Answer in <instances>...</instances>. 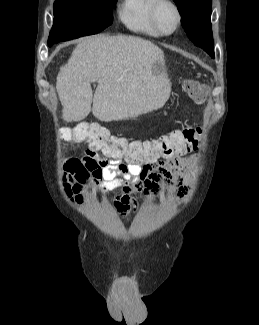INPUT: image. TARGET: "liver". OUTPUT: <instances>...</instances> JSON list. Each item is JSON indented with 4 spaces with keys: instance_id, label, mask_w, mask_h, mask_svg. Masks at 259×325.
Instances as JSON below:
<instances>
[{
    "instance_id": "1",
    "label": "liver",
    "mask_w": 259,
    "mask_h": 325,
    "mask_svg": "<svg viewBox=\"0 0 259 325\" xmlns=\"http://www.w3.org/2000/svg\"><path fill=\"white\" fill-rule=\"evenodd\" d=\"M156 63L164 65V52L140 37L82 39L57 76L64 121H81L92 110L100 121L111 122L163 107L170 87ZM95 81L93 96L91 83Z\"/></svg>"
}]
</instances>
